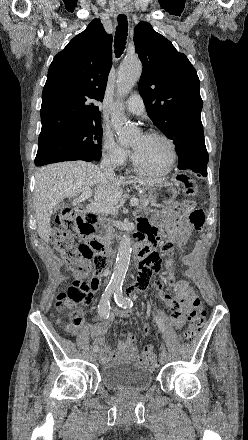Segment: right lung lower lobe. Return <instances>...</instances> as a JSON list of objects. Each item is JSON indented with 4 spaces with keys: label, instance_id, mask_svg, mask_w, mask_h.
<instances>
[{
    "label": "right lung lower lobe",
    "instance_id": "obj_1",
    "mask_svg": "<svg viewBox=\"0 0 248 440\" xmlns=\"http://www.w3.org/2000/svg\"><path fill=\"white\" fill-rule=\"evenodd\" d=\"M78 160H84V161H87V162L93 161V159H91V158H89V159H78Z\"/></svg>",
    "mask_w": 248,
    "mask_h": 440
}]
</instances>
